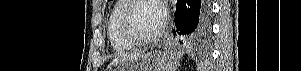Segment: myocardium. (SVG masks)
<instances>
[{
	"mask_svg": "<svg viewBox=\"0 0 301 71\" xmlns=\"http://www.w3.org/2000/svg\"><path fill=\"white\" fill-rule=\"evenodd\" d=\"M142 2H153L158 5V2L155 0H129L128 4L124 8L120 17V30L122 36L127 41L137 46L148 45L158 41L162 37L163 33L165 32V26H166L165 25L166 22H165L158 30V32H156L155 34L149 37L138 36L132 29L130 17L133 9Z\"/></svg>",
	"mask_w": 301,
	"mask_h": 71,
	"instance_id": "obj_1",
	"label": "myocardium"
}]
</instances>
